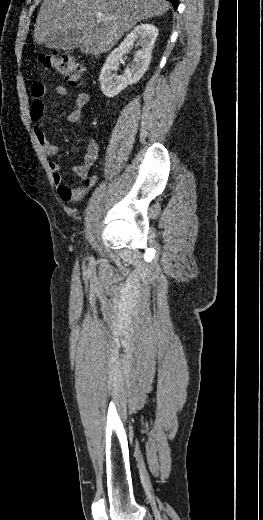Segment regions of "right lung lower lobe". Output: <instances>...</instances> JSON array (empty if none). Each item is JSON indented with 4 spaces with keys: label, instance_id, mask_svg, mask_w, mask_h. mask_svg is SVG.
Listing matches in <instances>:
<instances>
[{
    "label": "right lung lower lobe",
    "instance_id": "1",
    "mask_svg": "<svg viewBox=\"0 0 263 520\" xmlns=\"http://www.w3.org/2000/svg\"><path fill=\"white\" fill-rule=\"evenodd\" d=\"M168 1H170L172 3L174 9L176 10L177 4H178V0H168Z\"/></svg>",
    "mask_w": 263,
    "mask_h": 520
}]
</instances>
